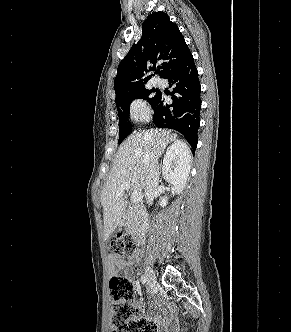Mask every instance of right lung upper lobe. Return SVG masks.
<instances>
[{"label":"right lung upper lobe","mask_w":291,"mask_h":332,"mask_svg":"<svg viewBox=\"0 0 291 332\" xmlns=\"http://www.w3.org/2000/svg\"><path fill=\"white\" fill-rule=\"evenodd\" d=\"M192 57L178 27L170 21L164 12L152 13L142 25V37L134 44L125 58L120 62L114 81L116 100L126 94L145 87L156 72V63L161 61L164 76L179 64Z\"/></svg>","instance_id":"right-lung-upper-lobe-1"}]
</instances>
